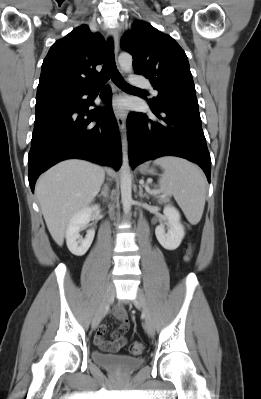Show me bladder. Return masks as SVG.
I'll return each instance as SVG.
<instances>
[{
  "label": "bladder",
  "mask_w": 261,
  "mask_h": 399,
  "mask_svg": "<svg viewBox=\"0 0 261 399\" xmlns=\"http://www.w3.org/2000/svg\"><path fill=\"white\" fill-rule=\"evenodd\" d=\"M91 357L98 365L117 373H131L144 363V359L140 357H131L124 354H105L99 351H92Z\"/></svg>",
  "instance_id": "1"
}]
</instances>
